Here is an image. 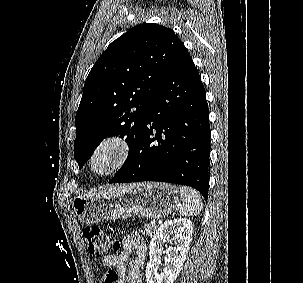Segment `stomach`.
Returning <instances> with one entry per match:
<instances>
[{
  "mask_svg": "<svg viewBox=\"0 0 303 283\" xmlns=\"http://www.w3.org/2000/svg\"><path fill=\"white\" fill-rule=\"evenodd\" d=\"M180 202L179 190L168 183L144 182L117 185L74 197L72 205L80 221L95 224L105 219H126L140 215L165 218Z\"/></svg>",
  "mask_w": 303,
  "mask_h": 283,
  "instance_id": "obj_1",
  "label": "stomach"
}]
</instances>
